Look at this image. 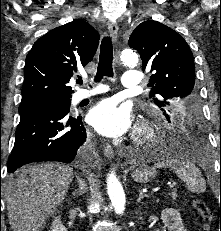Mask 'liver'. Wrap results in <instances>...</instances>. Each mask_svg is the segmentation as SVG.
<instances>
[{
  "mask_svg": "<svg viewBox=\"0 0 221 231\" xmlns=\"http://www.w3.org/2000/svg\"><path fill=\"white\" fill-rule=\"evenodd\" d=\"M73 168L59 163L32 164L10 175L4 185L13 231H41L64 201Z\"/></svg>",
  "mask_w": 221,
  "mask_h": 231,
  "instance_id": "liver-1",
  "label": "liver"
}]
</instances>
